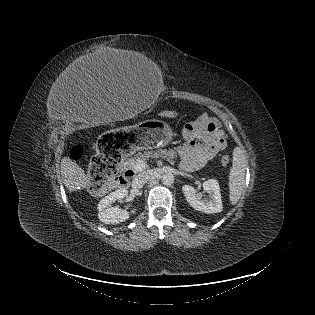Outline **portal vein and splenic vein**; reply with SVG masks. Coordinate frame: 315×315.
Here are the masks:
<instances>
[{"mask_svg":"<svg viewBox=\"0 0 315 315\" xmlns=\"http://www.w3.org/2000/svg\"><path fill=\"white\" fill-rule=\"evenodd\" d=\"M146 168V163L139 161L136 165V171H142L143 169Z\"/></svg>","mask_w":315,"mask_h":315,"instance_id":"portal-vein-and-splenic-vein-1","label":"portal vein and splenic vein"}]
</instances>
